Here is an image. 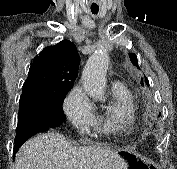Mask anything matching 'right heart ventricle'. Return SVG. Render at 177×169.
<instances>
[{
	"label": "right heart ventricle",
	"instance_id": "obj_1",
	"mask_svg": "<svg viewBox=\"0 0 177 169\" xmlns=\"http://www.w3.org/2000/svg\"><path fill=\"white\" fill-rule=\"evenodd\" d=\"M113 102L95 116L98 131L119 135L132 131L136 125L137 104L134 95L126 88L112 90Z\"/></svg>",
	"mask_w": 177,
	"mask_h": 169
}]
</instances>
